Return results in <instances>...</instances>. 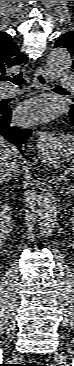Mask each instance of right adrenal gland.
<instances>
[{
    "mask_svg": "<svg viewBox=\"0 0 74 366\" xmlns=\"http://www.w3.org/2000/svg\"><path fill=\"white\" fill-rule=\"evenodd\" d=\"M17 177H18V174H17V175H14V176H12V177H10V178H8V179L6 180V182H10V181H12L13 179L17 180Z\"/></svg>",
    "mask_w": 74,
    "mask_h": 366,
    "instance_id": "obj_1",
    "label": "right adrenal gland"
}]
</instances>
